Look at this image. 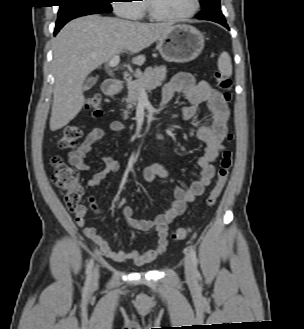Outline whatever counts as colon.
<instances>
[{
	"label": "colon",
	"mask_w": 304,
	"mask_h": 329,
	"mask_svg": "<svg viewBox=\"0 0 304 329\" xmlns=\"http://www.w3.org/2000/svg\"><path fill=\"white\" fill-rule=\"evenodd\" d=\"M214 79L217 86L223 91V97L226 102L231 101L232 81L229 77L223 75L220 71L214 72ZM87 107L94 118H99L102 113V102L98 95L90 97L87 101ZM81 128L77 125L66 126L63 134L58 140V147L61 150H72L77 146V141L81 137ZM228 140H232V134H228ZM53 183L64 193V202L66 207L71 212H77L81 208V201L85 194L84 188L79 181V173L71 165L67 164L60 156L52 157ZM233 162V151L225 149L220 160L218 176L214 187L210 190L206 198V206L212 207L221 195ZM190 228H177L172 233V239L179 241L185 239L190 234Z\"/></svg>",
	"instance_id": "colon-1"
}]
</instances>
